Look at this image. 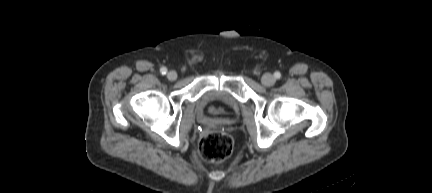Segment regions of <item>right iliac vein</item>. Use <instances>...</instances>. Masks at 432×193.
<instances>
[{
  "label": "right iliac vein",
  "mask_w": 432,
  "mask_h": 193,
  "mask_svg": "<svg viewBox=\"0 0 432 193\" xmlns=\"http://www.w3.org/2000/svg\"><path fill=\"white\" fill-rule=\"evenodd\" d=\"M167 78L170 81H174V80L177 79V73L175 71H169L168 74H167Z\"/></svg>",
  "instance_id": "right-iliac-vein-1"
}]
</instances>
